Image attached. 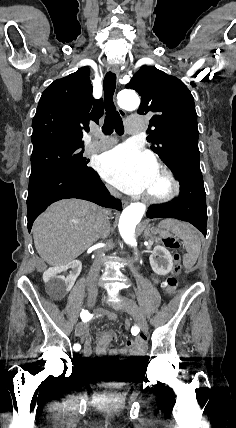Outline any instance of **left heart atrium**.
I'll return each mask as SVG.
<instances>
[{"instance_id": "39dd6f15", "label": "left heart atrium", "mask_w": 236, "mask_h": 428, "mask_svg": "<svg viewBox=\"0 0 236 428\" xmlns=\"http://www.w3.org/2000/svg\"><path fill=\"white\" fill-rule=\"evenodd\" d=\"M155 161L140 149L119 145L106 153L99 167L101 176L128 194L144 193L155 172Z\"/></svg>"}]
</instances>
